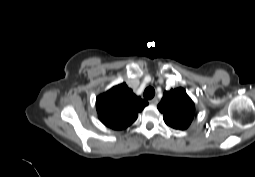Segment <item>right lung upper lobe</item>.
Masks as SVG:
<instances>
[{
  "label": "right lung upper lobe",
  "mask_w": 255,
  "mask_h": 177,
  "mask_svg": "<svg viewBox=\"0 0 255 177\" xmlns=\"http://www.w3.org/2000/svg\"><path fill=\"white\" fill-rule=\"evenodd\" d=\"M148 102L136 96L126 83L112 87L96 99L100 121L114 130L130 126Z\"/></svg>",
  "instance_id": "cb5924a9"
}]
</instances>
